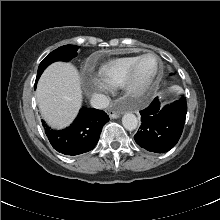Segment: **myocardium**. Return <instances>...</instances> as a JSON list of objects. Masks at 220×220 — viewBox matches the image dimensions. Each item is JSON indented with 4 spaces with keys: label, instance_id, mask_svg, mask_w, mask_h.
<instances>
[{
    "label": "myocardium",
    "instance_id": "f54148a6",
    "mask_svg": "<svg viewBox=\"0 0 220 220\" xmlns=\"http://www.w3.org/2000/svg\"><path fill=\"white\" fill-rule=\"evenodd\" d=\"M148 56H152L156 59L157 69L150 78L141 81L138 77V68L142 60ZM160 74H161L160 58L155 53L147 52L139 56L138 59L135 61V63L133 64L127 75L123 88L128 95L132 97H140L153 85V83L158 79Z\"/></svg>",
    "mask_w": 220,
    "mask_h": 220
}]
</instances>
